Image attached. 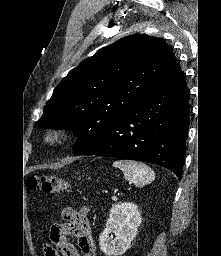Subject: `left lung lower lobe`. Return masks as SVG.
<instances>
[{
    "instance_id": "0a47b994",
    "label": "left lung lower lobe",
    "mask_w": 221,
    "mask_h": 256,
    "mask_svg": "<svg viewBox=\"0 0 221 256\" xmlns=\"http://www.w3.org/2000/svg\"><path fill=\"white\" fill-rule=\"evenodd\" d=\"M188 127L189 91L180 70L116 122L102 127L96 139L74 155L149 162L181 179Z\"/></svg>"
}]
</instances>
